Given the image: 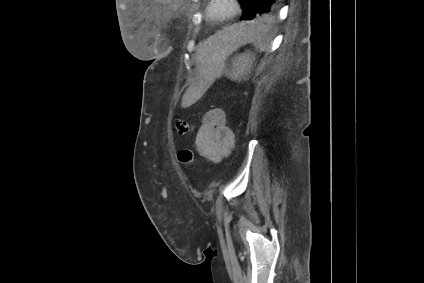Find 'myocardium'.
<instances>
[{
	"instance_id": "1",
	"label": "myocardium",
	"mask_w": 424,
	"mask_h": 283,
	"mask_svg": "<svg viewBox=\"0 0 424 283\" xmlns=\"http://www.w3.org/2000/svg\"><path fill=\"white\" fill-rule=\"evenodd\" d=\"M220 0H209L208 5H207V15L208 18L211 21L214 22H222V21H227L230 20L234 17H236L240 11H241V2L240 0H225L229 6H230V10L228 13L223 14V15H216L213 12V8L215 6L216 3H218Z\"/></svg>"
}]
</instances>
